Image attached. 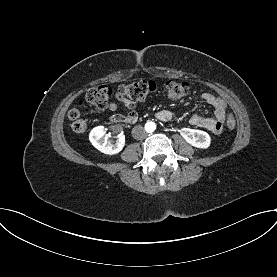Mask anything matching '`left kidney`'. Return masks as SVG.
I'll return each mask as SVG.
<instances>
[{"label":"left kidney","instance_id":"5707ae66","mask_svg":"<svg viewBox=\"0 0 277 277\" xmlns=\"http://www.w3.org/2000/svg\"><path fill=\"white\" fill-rule=\"evenodd\" d=\"M180 134L187 143L194 147L207 149L210 146L211 138L205 131L182 128Z\"/></svg>","mask_w":277,"mask_h":277}]
</instances>
